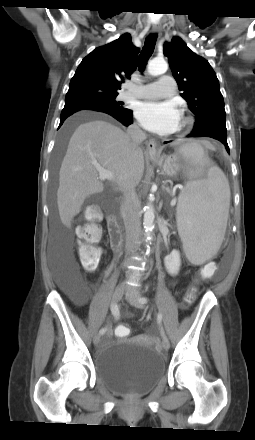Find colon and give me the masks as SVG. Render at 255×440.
<instances>
[{
  "mask_svg": "<svg viewBox=\"0 0 255 440\" xmlns=\"http://www.w3.org/2000/svg\"><path fill=\"white\" fill-rule=\"evenodd\" d=\"M100 214L97 209L89 208L86 211L87 223L78 229V236L81 240L78 246V255L83 268L87 270L95 269L98 266L101 252L96 246L101 239V229L96 224ZM196 289H190L185 296L186 302L190 303L195 299ZM115 333L118 337H127L130 335V328L126 325H120Z\"/></svg>",
  "mask_w": 255,
  "mask_h": 440,
  "instance_id": "5ec220e1",
  "label": "colon"
}]
</instances>
